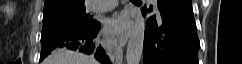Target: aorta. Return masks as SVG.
<instances>
[{
  "label": "aorta",
  "mask_w": 242,
  "mask_h": 64,
  "mask_svg": "<svg viewBox=\"0 0 242 64\" xmlns=\"http://www.w3.org/2000/svg\"><path fill=\"white\" fill-rule=\"evenodd\" d=\"M145 24L141 13H138L136 22L130 34L127 45V64H139L143 52Z\"/></svg>",
  "instance_id": "obj_1"
}]
</instances>
